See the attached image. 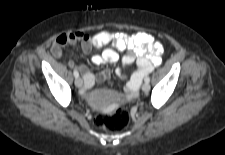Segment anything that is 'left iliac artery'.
<instances>
[{
  "instance_id": "44dca946",
  "label": "left iliac artery",
  "mask_w": 225,
  "mask_h": 155,
  "mask_svg": "<svg viewBox=\"0 0 225 155\" xmlns=\"http://www.w3.org/2000/svg\"><path fill=\"white\" fill-rule=\"evenodd\" d=\"M144 80H145V82L149 83L150 82V77L146 76Z\"/></svg>"
}]
</instances>
